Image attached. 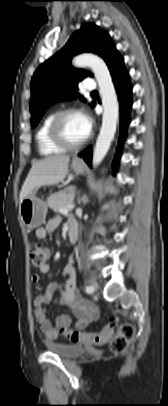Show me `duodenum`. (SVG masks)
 I'll return each instance as SVG.
<instances>
[{
  "mask_svg": "<svg viewBox=\"0 0 168 406\" xmlns=\"http://www.w3.org/2000/svg\"><path fill=\"white\" fill-rule=\"evenodd\" d=\"M69 231H68V241L70 244H75L79 237V226L78 223L74 221H70L69 224Z\"/></svg>",
  "mask_w": 168,
  "mask_h": 406,
  "instance_id": "410a0bca",
  "label": "duodenum"
}]
</instances>
